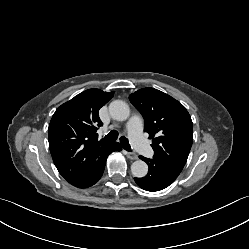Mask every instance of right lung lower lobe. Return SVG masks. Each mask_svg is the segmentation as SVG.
I'll return each mask as SVG.
<instances>
[{"instance_id":"1","label":"right lung lower lobe","mask_w":249,"mask_h":249,"mask_svg":"<svg viewBox=\"0 0 249 249\" xmlns=\"http://www.w3.org/2000/svg\"><path fill=\"white\" fill-rule=\"evenodd\" d=\"M121 146L117 142H113L105 150H103L97 157L92 169L84 178V180L79 183L76 187L78 188H87L95 184L102 176L107 157L113 151H121Z\"/></svg>"}]
</instances>
